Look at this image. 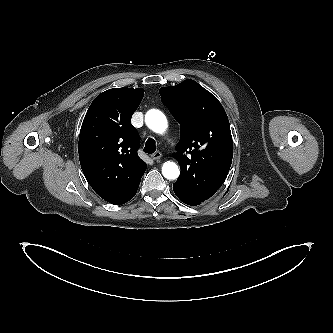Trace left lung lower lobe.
<instances>
[{
  "mask_svg": "<svg viewBox=\"0 0 333 333\" xmlns=\"http://www.w3.org/2000/svg\"><path fill=\"white\" fill-rule=\"evenodd\" d=\"M173 190L176 194V196L185 204L188 205H199L201 204V201L199 199H197L196 197L182 191L181 189H178L176 187L173 186Z\"/></svg>",
  "mask_w": 333,
  "mask_h": 333,
  "instance_id": "left-lung-lower-lobe-1",
  "label": "left lung lower lobe"
}]
</instances>
